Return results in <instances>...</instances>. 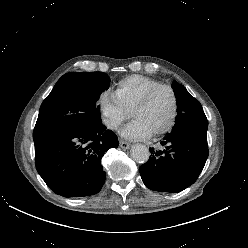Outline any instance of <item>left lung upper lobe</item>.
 I'll use <instances>...</instances> for the list:
<instances>
[{"label":"left lung upper lobe","mask_w":248,"mask_h":248,"mask_svg":"<svg viewBox=\"0 0 248 248\" xmlns=\"http://www.w3.org/2000/svg\"><path fill=\"white\" fill-rule=\"evenodd\" d=\"M172 88L176 96L178 112L172 131L179 129H204L207 131L208 120L200 102L178 82L174 81Z\"/></svg>","instance_id":"left-lung-upper-lobe-1"}]
</instances>
